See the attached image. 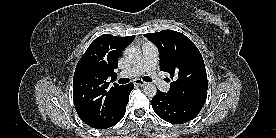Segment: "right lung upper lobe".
I'll use <instances>...</instances> for the list:
<instances>
[{
  "label": "right lung upper lobe",
  "instance_id": "obj_1",
  "mask_svg": "<svg viewBox=\"0 0 276 138\" xmlns=\"http://www.w3.org/2000/svg\"><path fill=\"white\" fill-rule=\"evenodd\" d=\"M135 36L103 34L96 38L79 60L73 77V99L80 118L97 129L109 127L122 106L125 85L109 86L117 74L118 58Z\"/></svg>",
  "mask_w": 276,
  "mask_h": 138
}]
</instances>
